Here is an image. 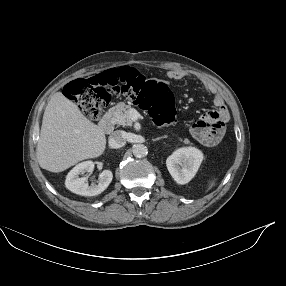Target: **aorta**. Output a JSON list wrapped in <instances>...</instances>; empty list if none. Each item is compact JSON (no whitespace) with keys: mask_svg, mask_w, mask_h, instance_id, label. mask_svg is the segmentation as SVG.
<instances>
[{"mask_svg":"<svg viewBox=\"0 0 286 286\" xmlns=\"http://www.w3.org/2000/svg\"><path fill=\"white\" fill-rule=\"evenodd\" d=\"M148 153V149L145 145L143 144H136L133 146V154L134 156L141 158L145 157Z\"/></svg>","mask_w":286,"mask_h":286,"instance_id":"obj_1","label":"aorta"}]
</instances>
